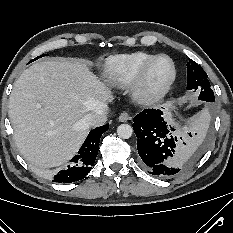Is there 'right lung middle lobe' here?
<instances>
[{
    "instance_id": "dd1d6c3e",
    "label": "right lung middle lobe",
    "mask_w": 233,
    "mask_h": 233,
    "mask_svg": "<svg viewBox=\"0 0 233 233\" xmlns=\"http://www.w3.org/2000/svg\"><path fill=\"white\" fill-rule=\"evenodd\" d=\"M42 56H45V55H41L40 57H42ZM38 58H39V57H37L36 59H38ZM36 59H33V60H31L30 62H32V61H34V60H36ZM30 62H29V63H30Z\"/></svg>"
}]
</instances>
